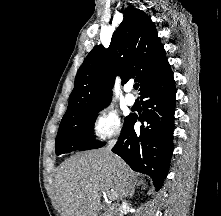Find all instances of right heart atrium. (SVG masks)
I'll use <instances>...</instances> for the list:
<instances>
[{"mask_svg":"<svg viewBox=\"0 0 221 216\" xmlns=\"http://www.w3.org/2000/svg\"><path fill=\"white\" fill-rule=\"evenodd\" d=\"M121 128L117 112L112 108H103L93 120L92 135L99 140L116 138L120 135Z\"/></svg>","mask_w":221,"mask_h":216,"instance_id":"obj_1","label":"right heart atrium"}]
</instances>
